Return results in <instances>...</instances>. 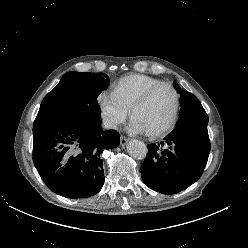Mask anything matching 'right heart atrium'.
<instances>
[{
	"mask_svg": "<svg viewBox=\"0 0 248 248\" xmlns=\"http://www.w3.org/2000/svg\"><path fill=\"white\" fill-rule=\"evenodd\" d=\"M98 100L101 115L110 128L116 129L126 122L129 112L118 102L113 93L103 92Z\"/></svg>",
	"mask_w": 248,
	"mask_h": 248,
	"instance_id": "1",
	"label": "right heart atrium"
}]
</instances>
